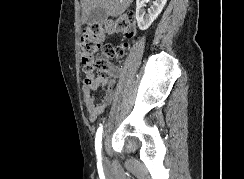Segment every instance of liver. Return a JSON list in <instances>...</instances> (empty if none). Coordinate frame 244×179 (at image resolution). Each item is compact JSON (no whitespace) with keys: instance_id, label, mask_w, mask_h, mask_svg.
Wrapping results in <instances>:
<instances>
[{"instance_id":"obj_1","label":"liver","mask_w":244,"mask_h":179,"mask_svg":"<svg viewBox=\"0 0 244 179\" xmlns=\"http://www.w3.org/2000/svg\"><path fill=\"white\" fill-rule=\"evenodd\" d=\"M133 0H81L82 18L86 22L91 10L94 8H104L108 16H121L129 8Z\"/></svg>"}]
</instances>
